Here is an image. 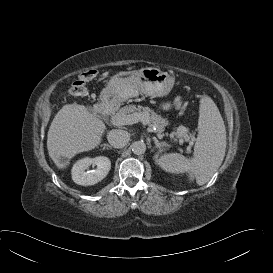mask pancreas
Instances as JSON below:
<instances>
[{"label": "pancreas", "instance_id": "obj_1", "mask_svg": "<svg viewBox=\"0 0 273 273\" xmlns=\"http://www.w3.org/2000/svg\"><path fill=\"white\" fill-rule=\"evenodd\" d=\"M134 113H142L147 116V119L150 122L151 126L156 127L157 132L164 131L165 127L168 125V120L163 118L162 116L156 114L153 110H151L149 107H143V106H136V105H128L120 108L115 114L112 115V119L116 118H122L130 114ZM177 135L184 139L185 141L193 140V137L191 134H189V129L185 126H179L177 128Z\"/></svg>", "mask_w": 273, "mask_h": 273}]
</instances>
